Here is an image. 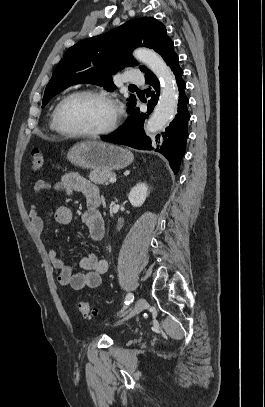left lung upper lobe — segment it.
<instances>
[{
    "mask_svg": "<svg viewBox=\"0 0 265 407\" xmlns=\"http://www.w3.org/2000/svg\"><path fill=\"white\" fill-rule=\"evenodd\" d=\"M139 46L154 49L172 66L178 59L174 43L167 35L165 26L152 17L130 20L123 25L70 47L57 65L49 81L42 107L67 87L79 83H94L113 91L116 87L111 74L126 66L137 65L131 51ZM145 75L153 74L140 66ZM136 97L130 96L128 111L132 112Z\"/></svg>",
    "mask_w": 265,
    "mask_h": 407,
    "instance_id": "obj_1",
    "label": "left lung upper lobe"
}]
</instances>
